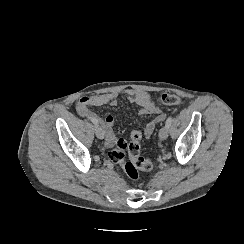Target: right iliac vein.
<instances>
[{
  "label": "right iliac vein",
  "mask_w": 244,
  "mask_h": 244,
  "mask_svg": "<svg viewBox=\"0 0 244 244\" xmlns=\"http://www.w3.org/2000/svg\"><path fill=\"white\" fill-rule=\"evenodd\" d=\"M95 134H96L97 138L103 139L104 138L103 128L101 126L96 125L95 126Z\"/></svg>",
  "instance_id": "obj_1"
}]
</instances>
